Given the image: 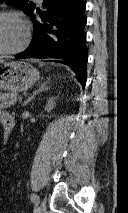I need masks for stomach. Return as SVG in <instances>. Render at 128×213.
I'll return each instance as SVG.
<instances>
[{"label":"stomach","mask_w":128,"mask_h":213,"mask_svg":"<svg viewBox=\"0 0 128 213\" xmlns=\"http://www.w3.org/2000/svg\"><path fill=\"white\" fill-rule=\"evenodd\" d=\"M39 79V71L25 61L0 60V89L11 92L25 91Z\"/></svg>","instance_id":"0dacf381"}]
</instances>
